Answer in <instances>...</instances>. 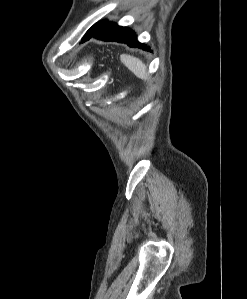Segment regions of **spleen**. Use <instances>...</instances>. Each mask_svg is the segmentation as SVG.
Instances as JSON below:
<instances>
[{
  "instance_id": "spleen-1",
  "label": "spleen",
  "mask_w": 247,
  "mask_h": 299,
  "mask_svg": "<svg viewBox=\"0 0 247 299\" xmlns=\"http://www.w3.org/2000/svg\"><path fill=\"white\" fill-rule=\"evenodd\" d=\"M121 61L124 65L132 71L137 77L145 78L146 77V66L138 58L126 54L120 56Z\"/></svg>"
}]
</instances>
